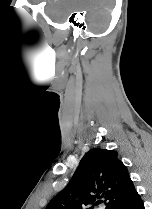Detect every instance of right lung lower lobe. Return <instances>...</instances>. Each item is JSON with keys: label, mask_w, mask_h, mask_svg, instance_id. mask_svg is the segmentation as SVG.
Instances as JSON below:
<instances>
[{"label": "right lung lower lobe", "mask_w": 152, "mask_h": 209, "mask_svg": "<svg viewBox=\"0 0 152 209\" xmlns=\"http://www.w3.org/2000/svg\"><path fill=\"white\" fill-rule=\"evenodd\" d=\"M111 209H144V203L133 187L119 202L114 204Z\"/></svg>", "instance_id": "1"}]
</instances>
